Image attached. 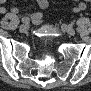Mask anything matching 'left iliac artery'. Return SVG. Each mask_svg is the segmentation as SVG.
Instances as JSON below:
<instances>
[{
  "label": "left iliac artery",
  "instance_id": "obj_1",
  "mask_svg": "<svg viewBox=\"0 0 91 91\" xmlns=\"http://www.w3.org/2000/svg\"><path fill=\"white\" fill-rule=\"evenodd\" d=\"M68 27H69L70 29H73V28H74V24H73V23H69V24H68Z\"/></svg>",
  "mask_w": 91,
  "mask_h": 91
}]
</instances>
